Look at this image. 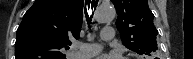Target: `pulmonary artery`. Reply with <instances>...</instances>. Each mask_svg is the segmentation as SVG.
<instances>
[{
  "mask_svg": "<svg viewBox=\"0 0 193 59\" xmlns=\"http://www.w3.org/2000/svg\"><path fill=\"white\" fill-rule=\"evenodd\" d=\"M102 35L106 41H111L114 39V31L111 27H103ZM102 49L103 46L101 44L90 43L86 44L83 50H73L72 56L74 59H87L97 55Z\"/></svg>",
  "mask_w": 193,
  "mask_h": 59,
  "instance_id": "pulmonary-artery-1",
  "label": "pulmonary artery"
}]
</instances>
